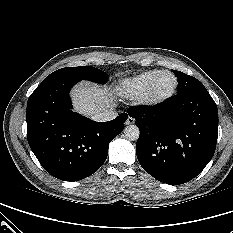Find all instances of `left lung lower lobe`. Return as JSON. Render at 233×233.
I'll list each match as a JSON object with an SVG mask.
<instances>
[{"mask_svg":"<svg viewBox=\"0 0 233 233\" xmlns=\"http://www.w3.org/2000/svg\"><path fill=\"white\" fill-rule=\"evenodd\" d=\"M140 136L136 154L155 179L172 185L195 178L214 155L218 109L205 87L177 94L155 106H133Z\"/></svg>","mask_w":233,"mask_h":233,"instance_id":"1","label":"left lung lower lobe"}]
</instances>
